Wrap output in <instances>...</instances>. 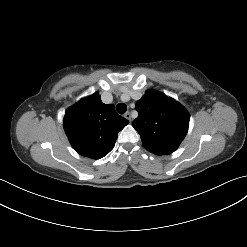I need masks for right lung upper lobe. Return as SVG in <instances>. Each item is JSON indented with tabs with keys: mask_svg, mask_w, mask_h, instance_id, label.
<instances>
[{
	"mask_svg": "<svg viewBox=\"0 0 247 247\" xmlns=\"http://www.w3.org/2000/svg\"><path fill=\"white\" fill-rule=\"evenodd\" d=\"M128 123L115 112L114 105L102 103L94 93L66 111L63 127L77 153L100 159L113 149L119 131Z\"/></svg>",
	"mask_w": 247,
	"mask_h": 247,
	"instance_id": "obj_1",
	"label": "right lung upper lobe"
}]
</instances>
